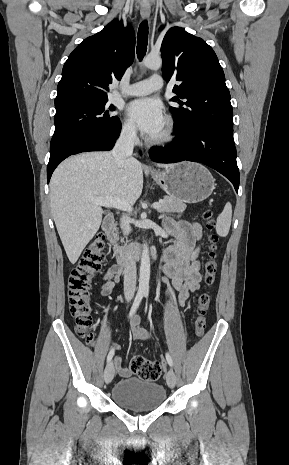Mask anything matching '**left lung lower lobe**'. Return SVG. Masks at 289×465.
Wrapping results in <instances>:
<instances>
[{"instance_id": "left-lung-lower-lobe-1", "label": "left lung lower lobe", "mask_w": 289, "mask_h": 465, "mask_svg": "<svg viewBox=\"0 0 289 465\" xmlns=\"http://www.w3.org/2000/svg\"><path fill=\"white\" fill-rule=\"evenodd\" d=\"M232 132L204 124H194L186 130L174 128L173 144L168 148L151 149L149 155L158 163L187 160L208 165L227 177L238 192L239 169Z\"/></svg>"}]
</instances>
